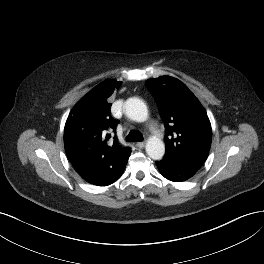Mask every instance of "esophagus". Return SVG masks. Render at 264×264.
I'll return each mask as SVG.
<instances>
[{
  "instance_id": "obj_1",
  "label": "esophagus",
  "mask_w": 264,
  "mask_h": 264,
  "mask_svg": "<svg viewBox=\"0 0 264 264\" xmlns=\"http://www.w3.org/2000/svg\"><path fill=\"white\" fill-rule=\"evenodd\" d=\"M136 147L139 148V149H142L145 147V142H137L136 143Z\"/></svg>"
}]
</instances>
